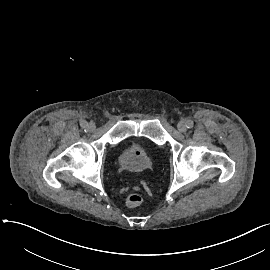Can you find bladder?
<instances>
[{"label":"bladder","instance_id":"bladder-1","mask_svg":"<svg viewBox=\"0 0 270 270\" xmlns=\"http://www.w3.org/2000/svg\"><path fill=\"white\" fill-rule=\"evenodd\" d=\"M155 155L153 145L146 139H131L124 144L120 163L131 172L144 171Z\"/></svg>","mask_w":270,"mask_h":270}]
</instances>
